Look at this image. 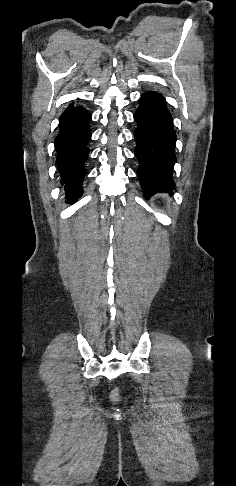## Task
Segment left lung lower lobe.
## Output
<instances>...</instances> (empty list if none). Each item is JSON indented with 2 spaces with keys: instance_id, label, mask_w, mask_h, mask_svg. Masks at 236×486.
<instances>
[{
  "instance_id": "obj_1",
  "label": "left lung lower lobe",
  "mask_w": 236,
  "mask_h": 486,
  "mask_svg": "<svg viewBox=\"0 0 236 486\" xmlns=\"http://www.w3.org/2000/svg\"><path fill=\"white\" fill-rule=\"evenodd\" d=\"M139 101L134 114L137 122L135 156L139 160L137 175L145 197L149 198L157 192L175 189L172 171L176 162V134L163 95L148 91Z\"/></svg>"
}]
</instances>
